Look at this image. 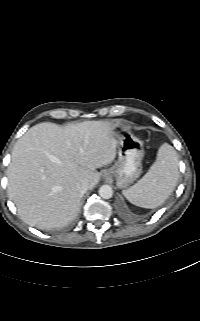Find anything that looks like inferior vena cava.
Returning a JSON list of instances; mask_svg holds the SVG:
<instances>
[{"label": "inferior vena cava", "mask_w": 200, "mask_h": 321, "mask_svg": "<svg viewBox=\"0 0 200 321\" xmlns=\"http://www.w3.org/2000/svg\"><path fill=\"white\" fill-rule=\"evenodd\" d=\"M76 186L81 192L84 193L88 190V180L83 179V180L77 182Z\"/></svg>", "instance_id": "inferior-vena-cava-1"}]
</instances>
